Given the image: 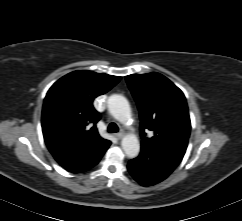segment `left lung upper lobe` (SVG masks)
I'll return each instance as SVG.
<instances>
[{
    "label": "left lung upper lobe",
    "instance_id": "left-lung-upper-lobe-1",
    "mask_svg": "<svg viewBox=\"0 0 242 221\" xmlns=\"http://www.w3.org/2000/svg\"><path fill=\"white\" fill-rule=\"evenodd\" d=\"M140 114L141 148L180 163L188 144L191 123L182 91L159 73L126 76ZM153 131L151 138L146 131Z\"/></svg>",
    "mask_w": 242,
    "mask_h": 221
}]
</instances>
